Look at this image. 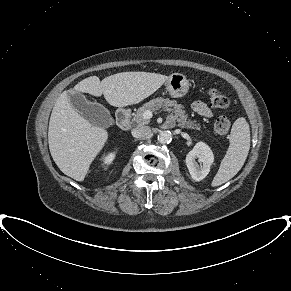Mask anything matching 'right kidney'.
Listing matches in <instances>:
<instances>
[{
    "label": "right kidney",
    "mask_w": 291,
    "mask_h": 291,
    "mask_svg": "<svg viewBox=\"0 0 291 291\" xmlns=\"http://www.w3.org/2000/svg\"><path fill=\"white\" fill-rule=\"evenodd\" d=\"M114 158H115V152H112V153H109L106 156H104L102 158V161H103L104 164L109 165V164H111L113 162Z\"/></svg>",
    "instance_id": "obj_1"
}]
</instances>
